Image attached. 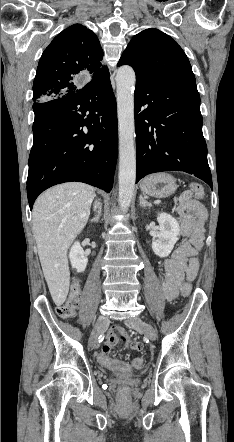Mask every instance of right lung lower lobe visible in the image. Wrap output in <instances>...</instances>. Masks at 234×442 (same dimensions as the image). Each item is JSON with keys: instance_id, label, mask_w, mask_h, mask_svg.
Segmentation results:
<instances>
[{"instance_id": "right-lung-lower-lobe-1", "label": "right lung lower lobe", "mask_w": 234, "mask_h": 442, "mask_svg": "<svg viewBox=\"0 0 234 442\" xmlns=\"http://www.w3.org/2000/svg\"><path fill=\"white\" fill-rule=\"evenodd\" d=\"M27 196L79 181L110 192L118 152L117 109L109 74L77 93L33 104ZM83 127H86L83 129Z\"/></svg>"}]
</instances>
